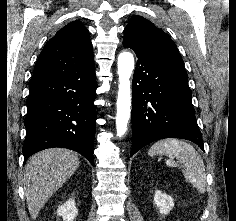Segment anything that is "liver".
<instances>
[{"label": "liver", "instance_id": "liver-1", "mask_svg": "<svg viewBox=\"0 0 236 221\" xmlns=\"http://www.w3.org/2000/svg\"><path fill=\"white\" fill-rule=\"evenodd\" d=\"M78 166L77 154L64 148L46 149L31 157L25 167L23 185L32 219H36L47 200Z\"/></svg>", "mask_w": 236, "mask_h": 221}]
</instances>
